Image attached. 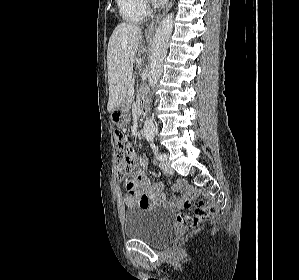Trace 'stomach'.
Returning <instances> with one entry per match:
<instances>
[{"label":"stomach","instance_id":"stomach-1","mask_svg":"<svg viewBox=\"0 0 299 280\" xmlns=\"http://www.w3.org/2000/svg\"><path fill=\"white\" fill-rule=\"evenodd\" d=\"M129 109L130 104L125 101L116 107L111 112V120L113 124L119 128L127 126L130 122Z\"/></svg>","mask_w":299,"mask_h":280}]
</instances>
